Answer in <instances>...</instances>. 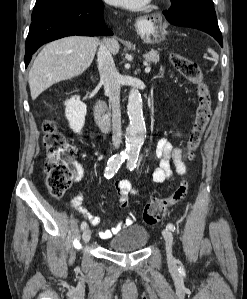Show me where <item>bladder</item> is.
Segmentation results:
<instances>
[{
	"mask_svg": "<svg viewBox=\"0 0 247 299\" xmlns=\"http://www.w3.org/2000/svg\"><path fill=\"white\" fill-rule=\"evenodd\" d=\"M149 239L148 231L141 225H131L109 240V247L116 252H132L145 247Z\"/></svg>",
	"mask_w": 247,
	"mask_h": 299,
	"instance_id": "1",
	"label": "bladder"
}]
</instances>
